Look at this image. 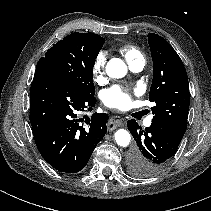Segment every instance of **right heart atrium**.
I'll return each mask as SVG.
<instances>
[{
    "label": "right heart atrium",
    "instance_id": "d8ad5b80",
    "mask_svg": "<svg viewBox=\"0 0 211 211\" xmlns=\"http://www.w3.org/2000/svg\"><path fill=\"white\" fill-rule=\"evenodd\" d=\"M106 56L104 53H99L92 63V75L97 82L104 79L105 75Z\"/></svg>",
    "mask_w": 211,
    "mask_h": 211
}]
</instances>
